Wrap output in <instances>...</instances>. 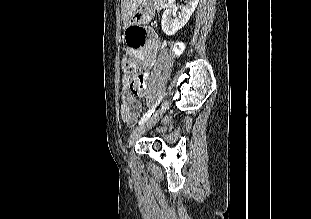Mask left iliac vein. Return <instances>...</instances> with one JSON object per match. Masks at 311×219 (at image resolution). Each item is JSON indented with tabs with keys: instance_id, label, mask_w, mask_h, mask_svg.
<instances>
[{
	"instance_id": "1",
	"label": "left iliac vein",
	"mask_w": 311,
	"mask_h": 219,
	"mask_svg": "<svg viewBox=\"0 0 311 219\" xmlns=\"http://www.w3.org/2000/svg\"><path fill=\"white\" fill-rule=\"evenodd\" d=\"M167 108L168 101H165L155 114H153L147 121L132 131L128 140L129 147L133 146L140 136H142L147 130H149L159 121L161 115L167 110Z\"/></svg>"
}]
</instances>
